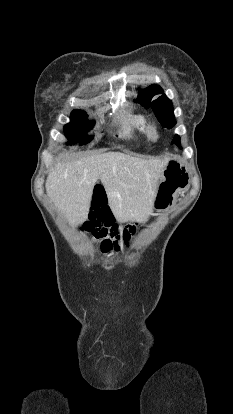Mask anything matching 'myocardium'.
<instances>
[{"label":"myocardium","mask_w":233,"mask_h":414,"mask_svg":"<svg viewBox=\"0 0 233 414\" xmlns=\"http://www.w3.org/2000/svg\"><path fill=\"white\" fill-rule=\"evenodd\" d=\"M148 136L151 139H156L158 137V130H157V127L155 125H149Z\"/></svg>","instance_id":"f54148a6"}]
</instances>
